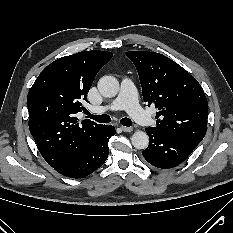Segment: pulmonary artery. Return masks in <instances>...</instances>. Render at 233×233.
Segmentation results:
<instances>
[{"label":"pulmonary artery","instance_id":"obj_1","mask_svg":"<svg viewBox=\"0 0 233 233\" xmlns=\"http://www.w3.org/2000/svg\"><path fill=\"white\" fill-rule=\"evenodd\" d=\"M117 110H126L138 123L143 125L149 126L153 122L152 118L140 107L135 85L129 78L122 80L118 96L109 105L91 108V112L94 114Z\"/></svg>","mask_w":233,"mask_h":233}]
</instances>
